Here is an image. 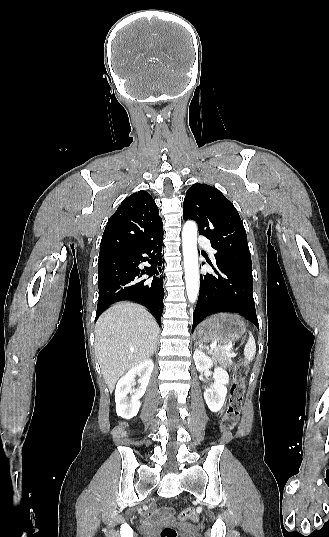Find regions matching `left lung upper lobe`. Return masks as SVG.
I'll list each match as a JSON object with an SVG mask.
<instances>
[{"instance_id":"left-lung-upper-lobe-1","label":"left lung upper lobe","mask_w":329,"mask_h":537,"mask_svg":"<svg viewBox=\"0 0 329 537\" xmlns=\"http://www.w3.org/2000/svg\"><path fill=\"white\" fill-rule=\"evenodd\" d=\"M184 219L197 222L199 234L211 240L216 259L252 270L247 235L233 204L216 188L196 183L188 189Z\"/></svg>"}]
</instances>
